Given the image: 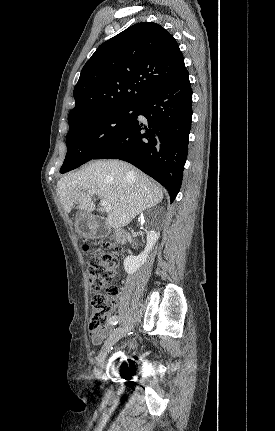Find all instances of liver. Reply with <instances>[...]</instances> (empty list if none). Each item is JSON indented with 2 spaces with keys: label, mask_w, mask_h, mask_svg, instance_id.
Wrapping results in <instances>:
<instances>
[{
  "label": "liver",
  "mask_w": 275,
  "mask_h": 431,
  "mask_svg": "<svg viewBox=\"0 0 275 431\" xmlns=\"http://www.w3.org/2000/svg\"><path fill=\"white\" fill-rule=\"evenodd\" d=\"M89 190H94L97 196L111 204L107 222L113 228L128 225L138 214L163 199L162 188L154 180L119 160L93 161L57 183V193L67 213L71 212L74 204L87 214L95 210Z\"/></svg>",
  "instance_id": "obj_1"
}]
</instances>
